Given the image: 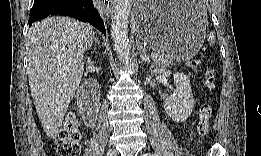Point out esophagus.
I'll use <instances>...</instances> for the list:
<instances>
[{
    "label": "esophagus",
    "instance_id": "1",
    "mask_svg": "<svg viewBox=\"0 0 261 156\" xmlns=\"http://www.w3.org/2000/svg\"><path fill=\"white\" fill-rule=\"evenodd\" d=\"M111 12H112V7L110 6L109 3H107L106 8L104 10H102V14L104 13V14L108 15Z\"/></svg>",
    "mask_w": 261,
    "mask_h": 156
}]
</instances>
